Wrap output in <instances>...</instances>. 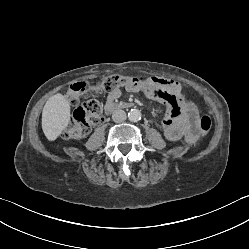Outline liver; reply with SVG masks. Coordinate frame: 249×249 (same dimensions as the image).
<instances>
[{
  "mask_svg": "<svg viewBox=\"0 0 249 249\" xmlns=\"http://www.w3.org/2000/svg\"><path fill=\"white\" fill-rule=\"evenodd\" d=\"M70 102L62 94L50 97L42 111V129L49 141H54L70 121Z\"/></svg>",
  "mask_w": 249,
  "mask_h": 249,
  "instance_id": "6515ba94",
  "label": "liver"
}]
</instances>
